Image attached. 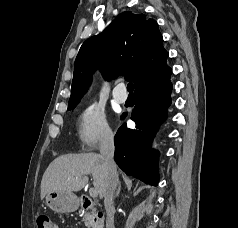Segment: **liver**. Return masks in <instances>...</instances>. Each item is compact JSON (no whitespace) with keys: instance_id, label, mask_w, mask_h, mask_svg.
<instances>
[{"instance_id":"6515ba94","label":"liver","mask_w":238,"mask_h":228,"mask_svg":"<svg viewBox=\"0 0 238 228\" xmlns=\"http://www.w3.org/2000/svg\"><path fill=\"white\" fill-rule=\"evenodd\" d=\"M93 176V185L104 197L108 172L101 155L96 153L61 155L46 169L41 181V199L51 191H80Z\"/></svg>"}]
</instances>
